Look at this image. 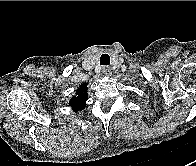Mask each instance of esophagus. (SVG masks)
<instances>
[{"label":"esophagus","mask_w":196,"mask_h":166,"mask_svg":"<svg viewBox=\"0 0 196 166\" xmlns=\"http://www.w3.org/2000/svg\"><path fill=\"white\" fill-rule=\"evenodd\" d=\"M102 72H103L106 76H108V75L111 74V68L105 66V67L102 68Z\"/></svg>","instance_id":"obj_1"}]
</instances>
